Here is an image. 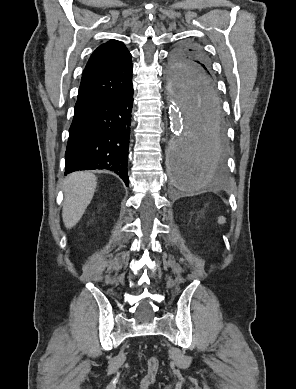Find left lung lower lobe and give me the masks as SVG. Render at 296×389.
Segmentation results:
<instances>
[{"label": "left lung lower lobe", "mask_w": 296, "mask_h": 389, "mask_svg": "<svg viewBox=\"0 0 296 389\" xmlns=\"http://www.w3.org/2000/svg\"><path fill=\"white\" fill-rule=\"evenodd\" d=\"M180 89L185 97H201V107L206 117L200 129L193 128L187 142L182 144L176 171L182 172L187 180L221 178L226 149L225 124L215 81L197 76L189 84L180 86ZM195 100L200 104L198 99Z\"/></svg>", "instance_id": "left-lung-lower-lobe-1"}]
</instances>
